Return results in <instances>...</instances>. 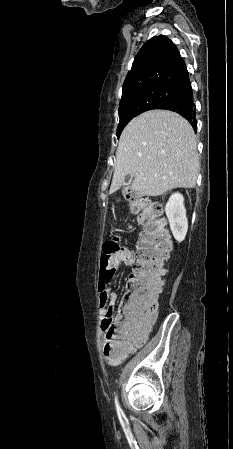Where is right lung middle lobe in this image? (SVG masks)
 <instances>
[{"label": "right lung middle lobe", "mask_w": 233, "mask_h": 449, "mask_svg": "<svg viewBox=\"0 0 233 449\" xmlns=\"http://www.w3.org/2000/svg\"><path fill=\"white\" fill-rule=\"evenodd\" d=\"M181 95L182 92L179 88L154 86L122 96L118 109L120 122L117 128V137L135 116L148 110L158 109L163 104L178 99Z\"/></svg>", "instance_id": "dd1d6c3e"}]
</instances>
